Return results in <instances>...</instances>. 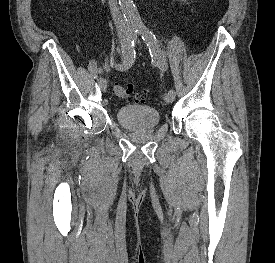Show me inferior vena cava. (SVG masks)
Returning a JSON list of instances; mask_svg holds the SVG:
<instances>
[{
    "label": "inferior vena cava",
    "instance_id": "602c4592",
    "mask_svg": "<svg viewBox=\"0 0 275 263\" xmlns=\"http://www.w3.org/2000/svg\"><path fill=\"white\" fill-rule=\"evenodd\" d=\"M108 3L112 14V19L118 30V33L119 34L127 33L128 26L120 12V8L118 6L117 0H108Z\"/></svg>",
    "mask_w": 275,
    "mask_h": 263
}]
</instances>
